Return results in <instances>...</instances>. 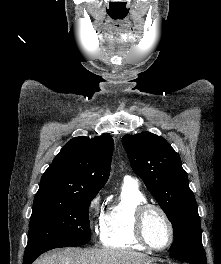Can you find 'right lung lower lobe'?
I'll list each match as a JSON object with an SVG mask.
<instances>
[{
  "instance_id": "98d812e1",
  "label": "right lung lower lobe",
  "mask_w": 221,
  "mask_h": 264,
  "mask_svg": "<svg viewBox=\"0 0 221 264\" xmlns=\"http://www.w3.org/2000/svg\"><path fill=\"white\" fill-rule=\"evenodd\" d=\"M40 254L32 255L27 258H24L23 264H31Z\"/></svg>"
}]
</instances>
